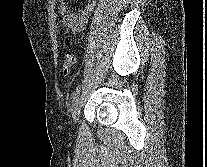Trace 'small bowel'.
Here are the masks:
<instances>
[{
    "mask_svg": "<svg viewBox=\"0 0 207 167\" xmlns=\"http://www.w3.org/2000/svg\"><path fill=\"white\" fill-rule=\"evenodd\" d=\"M94 6L95 0H85L83 8L73 10L70 0H60L59 12L62 16V25L71 33L81 32L85 28Z\"/></svg>",
    "mask_w": 207,
    "mask_h": 167,
    "instance_id": "obj_1",
    "label": "small bowel"
}]
</instances>
